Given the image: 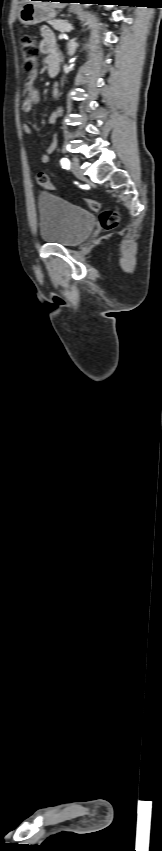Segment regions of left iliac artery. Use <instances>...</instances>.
I'll return each instance as SVG.
<instances>
[{"label": "left iliac artery", "instance_id": "44dca946", "mask_svg": "<svg viewBox=\"0 0 162 851\" xmlns=\"http://www.w3.org/2000/svg\"><path fill=\"white\" fill-rule=\"evenodd\" d=\"M61 166L63 168H68L70 166V161L67 158H62L61 159Z\"/></svg>", "mask_w": 162, "mask_h": 851}]
</instances>
